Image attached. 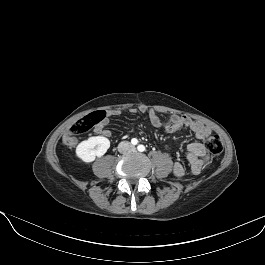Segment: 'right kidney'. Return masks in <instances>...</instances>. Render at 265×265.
I'll use <instances>...</instances> for the list:
<instances>
[{"label":"right kidney","instance_id":"ca27d5eb","mask_svg":"<svg viewBox=\"0 0 265 265\" xmlns=\"http://www.w3.org/2000/svg\"><path fill=\"white\" fill-rule=\"evenodd\" d=\"M110 147V141L103 136H93L82 141L76 147V155L84 162H93L102 157Z\"/></svg>","mask_w":265,"mask_h":265}]
</instances>
